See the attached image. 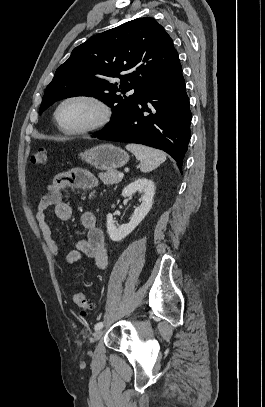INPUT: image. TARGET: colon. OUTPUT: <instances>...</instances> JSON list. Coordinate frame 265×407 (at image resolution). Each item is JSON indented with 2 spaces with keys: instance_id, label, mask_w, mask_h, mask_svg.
Listing matches in <instances>:
<instances>
[{
  "instance_id": "obj_1",
  "label": "colon",
  "mask_w": 265,
  "mask_h": 407,
  "mask_svg": "<svg viewBox=\"0 0 265 407\" xmlns=\"http://www.w3.org/2000/svg\"><path fill=\"white\" fill-rule=\"evenodd\" d=\"M49 152L38 149L31 157V163L35 166L45 165L48 161ZM73 303L80 309L82 314H87L93 309V304L88 300L83 292L77 291L72 296Z\"/></svg>"
}]
</instances>
